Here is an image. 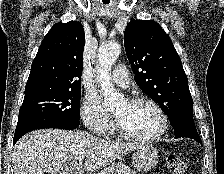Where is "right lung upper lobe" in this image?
Masks as SVG:
<instances>
[{
    "instance_id": "cb5924a9",
    "label": "right lung upper lobe",
    "mask_w": 224,
    "mask_h": 174,
    "mask_svg": "<svg viewBox=\"0 0 224 174\" xmlns=\"http://www.w3.org/2000/svg\"><path fill=\"white\" fill-rule=\"evenodd\" d=\"M85 34L77 21L54 24L32 63L25 94L81 89Z\"/></svg>"
}]
</instances>
